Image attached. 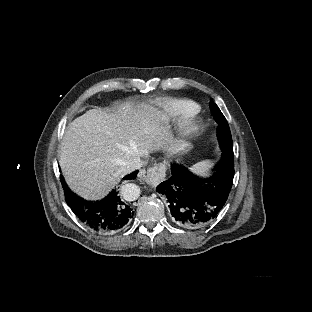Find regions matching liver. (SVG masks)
<instances>
[{
    "label": "liver",
    "instance_id": "1",
    "mask_svg": "<svg viewBox=\"0 0 312 312\" xmlns=\"http://www.w3.org/2000/svg\"><path fill=\"white\" fill-rule=\"evenodd\" d=\"M125 105L119 112L89 110L67 128L58 160L69 186L83 197L106 194L126 172V163L147 157L167 138L159 111Z\"/></svg>",
    "mask_w": 312,
    "mask_h": 312
}]
</instances>
